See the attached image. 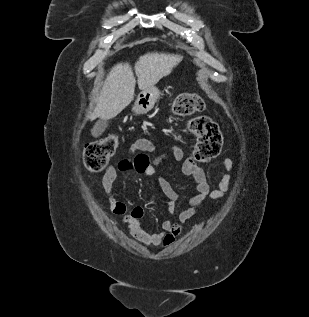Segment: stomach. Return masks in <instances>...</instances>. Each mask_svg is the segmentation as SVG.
<instances>
[{"mask_svg":"<svg viewBox=\"0 0 309 317\" xmlns=\"http://www.w3.org/2000/svg\"><path fill=\"white\" fill-rule=\"evenodd\" d=\"M160 97V91L156 87L142 90L133 105V112L136 114H145L149 112Z\"/></svg>","mask_w":309,"mask_h":317,"instance_id":"obj_1","label":"stomach"}]
</instances>
